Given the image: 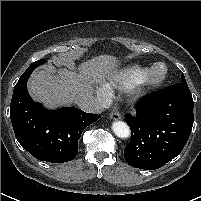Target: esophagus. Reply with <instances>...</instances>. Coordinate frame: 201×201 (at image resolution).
Instances as JSON below:
<instances>
[{"mask_svg": "<svg viewBox=\"0 0 201 201\" xmlns=\"http://www.w3.org/2000/svg\"><path fill=\"white\" fill-rule=\"evenodd\" d=\"M110 118H111L112 120L117 121V120H120V119H121V115L119 114V112L113 111V112L110 113Z\"/></svg>", "mask_w": 201, "mask_h": 201, "instance_id": "1", "label": "esophagus"}]
</instances>
